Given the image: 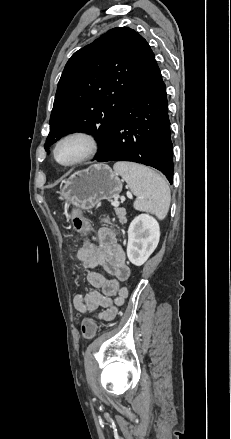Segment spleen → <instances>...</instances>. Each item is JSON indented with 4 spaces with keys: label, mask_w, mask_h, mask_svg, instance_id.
I'll return each mask as SVG.
<instances>
[{
    "label": "spleen",
    "mask_w": 231,
    "mask_h": 439,
    "mask_svg": "<svg viewBox=\"0 0 231 439\" xmlns=\"http://www.w3.org/2000/svg\"><path fill=\"white\" fill-rule=\"evenodd\" d=\"M114 171L128 184L136 196L134 208L150 212L162 220L170 207V189L166 180L157 172L130 162H118Z\"/></svg>",
    "instance_id": "spleen-1"
}]
</instances>
